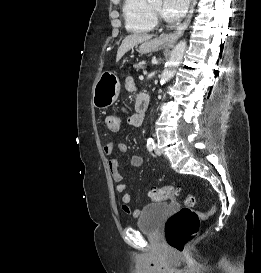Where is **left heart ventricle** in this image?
<instances>
[{"label":"left heart ventricle","mask_w":261,"mask_h":273,"mask_svg":"<svg viewBox=\"0 0 261 273\" xmlns=\"http://www.w3.org/2000/svg\"><path fill=\"white\" fill-rule=\"evenodd\" d=\"M151 4L162 13V6H163V2L162 0H152Z\"/></svg>","instance_id":"b2bd125f"}]
</instances>
